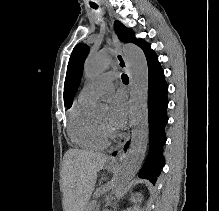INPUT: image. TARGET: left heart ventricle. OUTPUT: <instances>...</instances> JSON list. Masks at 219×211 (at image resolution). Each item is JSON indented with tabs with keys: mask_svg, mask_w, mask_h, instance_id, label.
I'll return each instance as SVG.
<instances>
[{
	"mask_svg": "<svg viewBox=\"0 0 219 211\" xmlns=\"http://www.w3.org/2000/svg\"><path fill=\"white\" fill-rule=\"evenodd\" d=\"M98 121L102 124H107V115H102Z\"/></svg>",
	"mask_w": 219,
	"mask_h": 211,
	"instance_id": "b2bd125f",
	"label": "left heart ventricle"
}]
</instances>
